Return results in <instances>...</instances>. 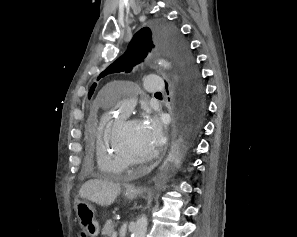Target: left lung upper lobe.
<instances>
[{"instance_id": "obj_1", "label": "left lung upper lobe", "mask_w": 297, "mask_h": 237, "mask_svg": "<svg viewBox=\"0 0 297 237\" xmlns=\"http://www.w3.org/2000/svg\"><path fill=\"white\" fill-rule=\"evenodd\" d=\"M154 49H163L177 60L181 69L182 94L191 98L197 105H204L203 87L199 72L188 48L179 36L178 31L163 22L157 23L152 30L145 27L138 31L129 43L124 55L103 71L98 79L111 73L131 71L135 64L140 63L148 52ZM96 85V83L92 85L89 98L92 96Z\"/></svg>"}]
</instances>
